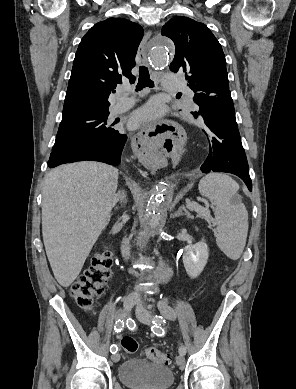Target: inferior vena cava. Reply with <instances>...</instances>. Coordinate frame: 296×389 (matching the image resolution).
Here are the masks:
<instances>
[{
    "instance_id": "602c4592",
    "label": "inferior vena cava",
    "mask_w": 296,
    "mask_h": 389,
    "mask_svg": "<svg viewBox=\"0 0 296 389\" xmlns=\"http://www.w3.org/2000/svg\"><path fill=\"white\" fill-rule=\"evenodd\" d=\"M118 199H120V200H125V194L124 193H122V195L119 193V195H116V200H118ZM128 249H129V240L128 239H125L124 241H123V250H122V252H123V254H126L127 252H128ZM132 297L135 299V300H138V294H133L132 295Z\"/></svg>"
}]
</instances>
